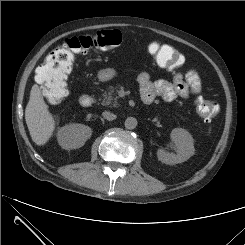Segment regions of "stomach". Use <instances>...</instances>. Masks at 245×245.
Instances as JSON below:
<instances>
[{
    "label": "stomach",
    "mask_w": 245,
    "mask_h": 245,
    "mask_svg": "<svg viewBox=\"0 0 245 245\" xmlns=\"http://www.w3.org/2000/svg\"><path fill=\"white\" fill-rule=\"evenodd\" d=\"M117 72L115 69L113 68H105V69H101L98 72V79L102 82H107L111 79H113L114 77H116Z\"/></svg>",
    "instance_id": "1"
}]
</instances>
